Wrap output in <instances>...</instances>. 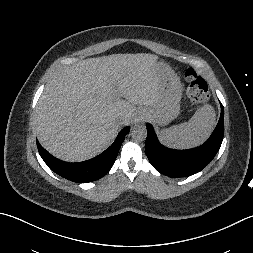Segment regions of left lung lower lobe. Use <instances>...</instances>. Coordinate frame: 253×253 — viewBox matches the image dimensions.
Segmentation results:
<instances>
[{
  "label": "left lung lower lobe",
  "instance_id": "obj_1",
  "mask_svg": "<svg viewBox=\"0 0 253 253\" xmlns=\"http://www.w3.org/2000/svg\"><path fill=\"white\" fill-rule=\"evenodd\" d=\"M221 104V103H220ZM146 155L153 167L169 177H184L201 171L218 152L224 135V108L221 104L219 122L209 139L190 150H173L161 145L153 127L146 124Z\"/></svg>",
  "mask_w": 253,
  "mask_h": 253
}]
</instances>
